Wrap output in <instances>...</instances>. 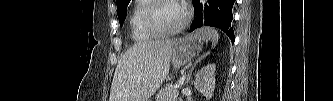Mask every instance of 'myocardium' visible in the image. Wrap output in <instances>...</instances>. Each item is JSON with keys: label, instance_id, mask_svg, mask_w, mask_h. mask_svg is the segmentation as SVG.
Returning <instances> with one entry per match:
<instances>
[{"label": "myocardium", "instance_id": "1", "mask_svg": "<svg viewBox=\"0 0 333 101\" xmlns=\"http://www.w3.org/2000/svg\"><path fill=\"white\" fill-rule=\"evenodd\" d=\"M166 2H174L177 5H179L183 11V18L180 22V24L170 30V31H163L161 30L158 25L156 24L155 21V11L156 9L163 3ZM188 20H189V12L186 9V7L184 5H182L179 1H174V0H154L151 1V3L148 5V7L146 8V10L144 11L143 14V26L144 28L151 33L152 35H154L155 37H168V36H173L175 34H178L179 32H181L188 24Z\"/></svg>", "mask_w": 333, "mask_h": 101}]
</instances>
